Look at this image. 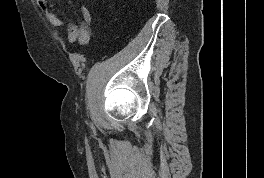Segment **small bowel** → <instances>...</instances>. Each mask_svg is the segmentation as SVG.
I'll list each match as a JSON object with an SVG mask.
<instances>
[{
    "label": "small bowel",
    "mask_w": 264,
    "mask_h": 178,
    "mask_svg": "<svg viewBox=\"0 0 264 178\" xmlns=\"http://www.w3.org/2000/svg\"><path fill=\"white\" fill-rule=\"evenodd\" d=\"M39 8L43 12V14L46 16L48 21L51 25L54 27H62L63 21L57 16L55 13V4L50 2L49 0H36ZM78 27L74 24H69L68 26V33L72 31H76Z\"/></svg>",
    "instance_id": "small-bowel-1"
}]
</instances>
